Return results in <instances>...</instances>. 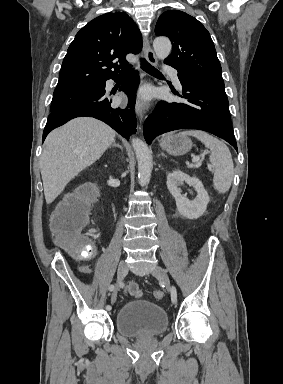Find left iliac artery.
<instances>
[{"mask_svg": "<svg viewBox=\"0 0 283 384\" xmlns=\"http://www.w3.org/2000/svg\"><path fill=\"white\" fill-rule=\"evenodd\" d=\"M171 300L173 303L177 302V291L174 286L171 287Z\"/></svg>", "mask_w": 283, "mask_h": 384, "instance_id": "44dca946", "label": "left iliac artery"}]
</instances>
